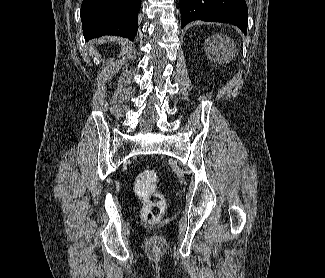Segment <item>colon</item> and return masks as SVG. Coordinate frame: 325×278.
<instances>
[{"label":"colon","mask_w":325,"mask_h":278,"mask_svg":"<svg viewBox=\"0 0 325 278\" xmlns=\"http://www.w3.org/2000/svg\"><path fill=\"white\" fill-rule=\"evenodd\" d=\"M136 193L143 199L142 219L147 223H158L164 213L166 202L158 191V174L153 169L142 171L134 183Z\"/></svg>","instance_id":"5ec220e1"}]
</instances>
